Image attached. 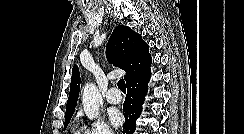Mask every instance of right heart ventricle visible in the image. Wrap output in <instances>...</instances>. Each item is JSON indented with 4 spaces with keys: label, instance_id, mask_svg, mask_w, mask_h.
<instances>
[{
    "label": "right heart ventricle",
    "instance_id": "obj_1",
    "mask_svg": "<svg viewBox=\"0 0 244 134\" xmlns=\"http://www.w3.org/2000/svg\"><path fill=\"white\" fill-rule=\"evenodd\" d=\"M73 134H80V132L77 129H75Z\"/></svg>",
    "mask_w": 244,
    "mask_h": 134
}]
</instances>
